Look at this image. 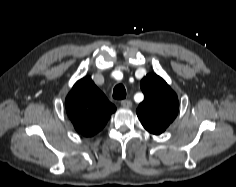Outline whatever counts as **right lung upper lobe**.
I'll list each match as a JSON object with an SVG mask.
<instances>
[{"label": "right lung upper lobe", "mask_w": 236, "mask_h": 187, "mask_svg": "<svg viewBox=\"0 0 236 187\" xmlns=\"http://www.w3.org/2000/svg\"><path fill=\"white\" fill-rule=\"evenodd\" d=\"M67 114L74 128L91 137L104 128L116 107L96 87L91 77L76 82L65 100Z\"/></svg>", "instance_id": "1"}]
</instances>
